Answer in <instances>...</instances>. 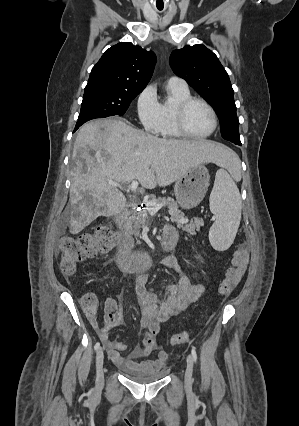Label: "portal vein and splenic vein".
I'll return each mask as SVG.
<instances>
[{
    "mask_svg": "<svg viewBox=\"0 0 299 426\" xmlns=\"http://www.w3.org/2000/svg\"><path fill=\"white\" fill-rule=\"evenodd\" d=\"M109 184H111L112 186H115V187H120V184L118 182L110 181ZM138 185H139L138 181H132V183L128 186V189L130 191L136 193ZM146 206H147L148 211L151 214H155L163 207V204L162 203L157 204V203L147 202ZM180 222L181 223H187L188 220H181Z\"/></svg>",
    "mask_w": 299,
    "mask_h": 426,
    "instance_id": "portal-vein-and-splenic-vein-1",
    "label": "portal vein and splenic vein"
}]
</instances>
